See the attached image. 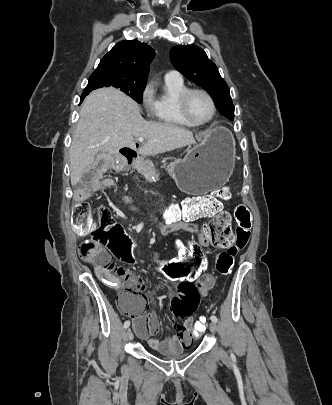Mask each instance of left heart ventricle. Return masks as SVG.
<instances>
[{
	"label": "left heart ventricle",
	"mask_w": 332,
	"mask_h": 405,
	"mask_svg": "<svg viewBox=\"0 0 332 405\" xmlns=\"http://www.w3.org/2000/svg\"><path fill=\"white\" fill-rule=\"evenodd\" d=\"M188 110L195 121H205L212 114V105L204 95L194 93L189 98Z\"/></svg>",
	"instance_id": "left-heart-ventricle-1"
}]
</instances>
